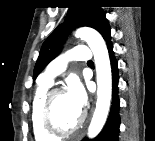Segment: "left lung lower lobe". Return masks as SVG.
<instances>
[{"label": "left lung lower lobe", "mask_w": 155, "mask_h": 141, "mask_svg": "<svg viewBox=\"0 0 155 141\" xmlns=\"http://www.w3.org/2000/svg\"><path fill=\"white\" fill-rule=\"evenodd\" d=\"M106 44L109 52L111 69H112V105L107 119V122L101 131V133L91 141H118V132L120 126L119 117V97H118V63L114 56L113 45L111 42V36L106 39ZM84 141H87L86 139Z\"/></svg>", "instance_id": "obj_1"}]
</instances>
